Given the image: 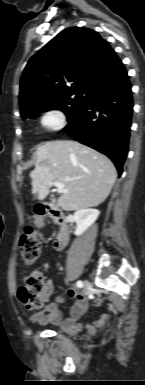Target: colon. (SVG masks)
<instances>
[{
    "label": "colon",
    "instance_id": "5ec220e1",
    "mask_svg": "<svg viewBox=\"0 0 145 385\" xmlns=\"http://www.w3.org/2000/svg\"><path fill=\"white\" fill-rule=\"evenodd\" d=\"M40 238L39 232L29 228L19 240V254L26 267L34 264L39 257ZM45 288L46 282L43 277L38 273H31L18 290L19 299L27 308L38 309L42 306Z\"/></svg>",
    "mask_w": 145,
    "mask_h": 385
}]
</instances>
